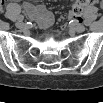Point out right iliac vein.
Wrapping results in <instances>:
<instances>
[{
  "label": "right iliac vein",
  "mask_w": 103,
  "mask_h": 103,
  "mask_svg": "<svg viewBox=\"0 0 103 103\" xmlns=\"http://www.w3.org/2000/svg\"><path fill=\"white\" fill-rule=\"evenodd\" d=\"M16 27L17 28H24L25 27V23L24 22H22V21H18L17 23H16Z\"/></svg>",
  "instance_id": "obj_1"
}]
</instances>
